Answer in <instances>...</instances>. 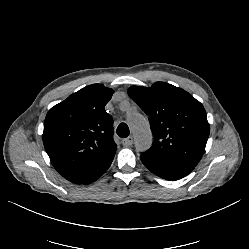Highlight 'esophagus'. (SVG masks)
<instances>
[{"instance_id":"esophagus-1","label":"esophagus","mask_w":249,"mask_h":249,"mask_svg":"<svg viewBox=\"0 0 249 249\" xmlns=\"http://www.w3.org/2000/svg\"><path fill=\"white\" fill-rule=\"evenodd\" d=\"M122 144L124 146H130L133 144V138L132 137H127L125 139L122 140Z\"/></svg>"}]
</instances>
